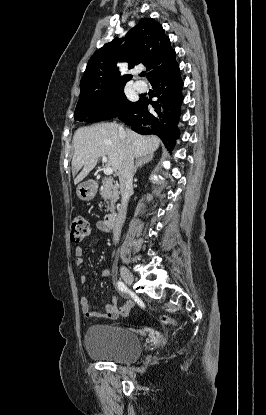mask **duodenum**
<instances>
[{"label":"duodenum","instance_id":"1","mask_svg":"<svg viewBox=\"0 0 266 415\" xmlns=\"http://www.w3.org/2000/svg\"><path fill=\"white\" fill-rule=\"evenodd\" d=\"M104 226L107 229H115L118 225V216L116 213H110L108 215L105 216L104 221H103Z\"/></svg>","mask_w":266,"mask_h":415}]
</instances>
